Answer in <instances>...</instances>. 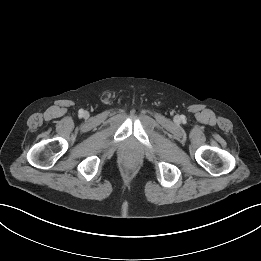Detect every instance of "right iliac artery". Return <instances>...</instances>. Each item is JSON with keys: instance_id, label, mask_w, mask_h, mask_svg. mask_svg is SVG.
Listing matches in <instances>:
<instances>
[{"instance_id": "1", "label": "right iliac artery", "mask_w": 261, "mask_h": 261, "mask_svg": "<svg viewBox=\"0 0 261 261\" xmlns=\"http://www.w3.org/2000/svg\"><path fill=\"white\" fill-rule=\"evenodd\" d=\"M79 114L82 115V114H83V110H80V111H79Z\"/></svg>"}]
</instances>
